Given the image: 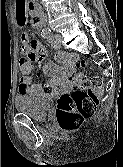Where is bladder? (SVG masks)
<instances>
[{
	"instance_id": "bladder-1",
	"label": "bladder",
	"mask_w": 123,
	"mask_h": 167,
	"mask_svg": "<svg viewBox=\"0 0 123 167\" xmlns=\"http://www.w3.org/2000/svg\"><path fill=\"white\" fill-rule=\"evenodd\" d=\"M15 106L20 114L44 122L48 118L52 102L47 96L20 95L15 99Z\"/></svg>"
}]
</instances>
